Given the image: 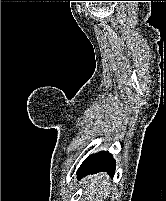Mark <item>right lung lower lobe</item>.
<instances>
[{
    "label": "right lung lower lobe",
    "mask_w": 166,
    "mask_h": 201,
    "mask_svg": "<svg viewBox=\"0 0 166 201\" xmlns=\"http://www.w3.org/2000/svg\"><path fill=\"white\" fill-rule=\"evenodd\" d=\"M107 172L111 176L115 173V161L109 152H99L89 156L80 166L77 174L83 177L87 174H94L97 172Z\"/></svg>",
    "instance_id": "obj_1"
}]
</instances>
